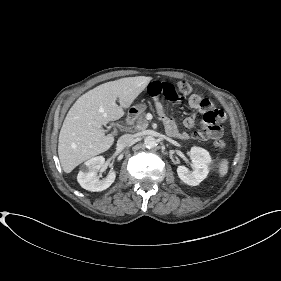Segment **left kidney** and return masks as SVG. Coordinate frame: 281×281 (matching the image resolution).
I'll use <instances>...</instances> for the list:
<instances>
[{
  "instance_id": "1",
  "label": "left kidney",
  "mask_w": 281,
  "mask_h": 281,
  "mask_svg": "<svg viewBox=\"0 0 281 281\" xmlns=\"http://www.w3.org/2000/svg\"><path fill=\"white\" fill-rule=\"evenodd\" d=\"M190 157L193 163V171L189 172L188 168L180 165L177 167V174L185 184L197 186L209 173L211 156L207 150L194 146L190 150Z\"/></svg>"
}]
</instances>
